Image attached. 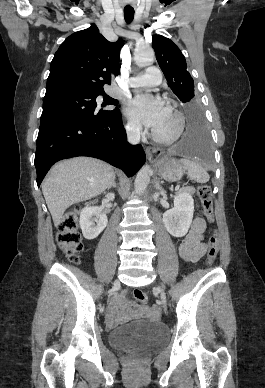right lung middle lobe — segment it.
Here are the masks:
<instances>
[{"label": "right lung middle lobe", "mask_w": 265, "mask_h": 388, "mask_svg": "<svg viewBox=\"0 0 265 388\" xmlns=\"http://www.w3.org/2000/svg\"><path fill=\"white\" fill-rule=\"evenodd\" d=\"M104 95L103 103L96 98ZM118 101L101 92H64L44 97L41 124L62 118L96 119L107 121L117 116L118 108L107 110V105H117Z\"/></svg>", "instance_id": "1"}]
</instances>
